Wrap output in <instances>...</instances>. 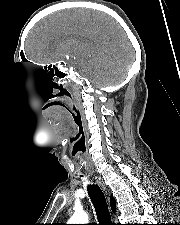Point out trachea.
Returning a JSON list of instances; mask_svg holds the SVG:
<instances>
[{
    "label": "trachea",
    "mask_w": 180,
    "mask_h": 225,
    "mask_svg": "<svg viewBox=\"0 0 180 225\" xmlns=\"http://www.w3.org/2000/svg\"><path fill=\"white\" fill-rule=\"evenodd\" d=\"M87 191L95 208L99 225H113L105 195L100 187L95 184L89 185Z\"/></svg>",
    "instance_id": "obj_1"
}]
</instances>
